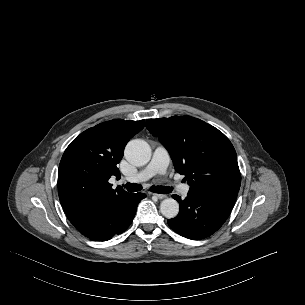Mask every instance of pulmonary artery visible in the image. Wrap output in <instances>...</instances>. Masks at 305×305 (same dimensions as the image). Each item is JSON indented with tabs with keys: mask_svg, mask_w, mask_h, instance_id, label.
Here are the masks:
<instances>
[{
	"mask_svg": "<svg viewBox=\"0 0 305 305\" xmlns=\"http://www.w3.org/2000/svg\"><path fill=\"white\" fill-rule=\"evenodd\" d=\"M170 157L166 148L162 145H158L153 152L152 159L150 163L140 172L136 173L133 176L126 177L125 180L129 182H142L150 179L154 175L164 174L169 165ZM190 186L183 184L179 186V192L182 195H187L189 192Z\"/></svg>",
	"mask_w": 305,
	"mask_h": 305,
	"instance_id": "pulmonary-artery-1",
	"label": "pulmonary artery"
}]
</instances>
